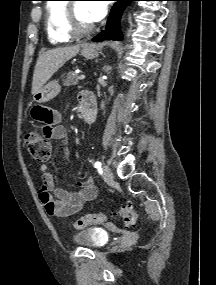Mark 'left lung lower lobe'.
I'll return each instance as SVG.
<instances>
[{
  "instance_id": "obj_1",
  "label": "left lung lower lobe",
  "mask_w": 216,
  "mask_h": 285,
  "mask_svg": "<svg viewBox=\"0 0 216 285\" xmlns=\"http://www.w3.org/2000/svg\"><path fill=\"white\" fill-rule=\"evenodd\" d=\"M116 4L112 7L110 17L108 19L105 30L100 32L97 36H95L92 41L98 42L103 40H120L121 34L119 32V20L123 11V8L127 3L131 1H139V0H115Z\"/></svg>"
}]
</instances>
